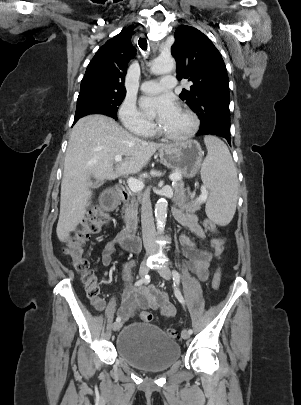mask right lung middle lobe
<instances>
[{
	"label": "right lung middle lobe",
	"mask_w": 301,
	"mask_h": 405,
	"mask_svg": "<svg viewBox=\"0 0 301 405\" xmlns=\"http://www.w3.org/2000/svg\"><path fill=\"white\" fill-rule=\"evenodd\" d=\"M125 94L118 93H84L79 94L74 123L89 114H103L117 119V107Z\"/></svg>",
	"instance_id": "right-lung-middle-lobe-1"
}]
</instances>
